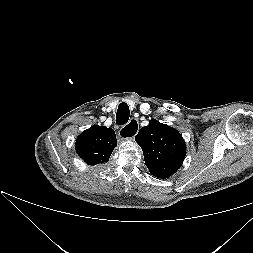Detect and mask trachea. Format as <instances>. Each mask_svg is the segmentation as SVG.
I'll use <instances>...</instances> for the list:
<instances>
[{"mask_svg":"<svg viewBox=\"0 0 253 253\" xmlns=\"http://www.w3.org/2000/svg\"><path fill=\"white\" fill-rule=\"evenodd\" d=\"M129 116H130V111H129L128 105L126 103H121L118 106V110L116 113V123L118 125L125 124L128 121ZM129 125H132V121L130 122Z\"/></svg>","mask_w":253,"mask_h":253,"instance_id":"1","label":"trachea"}]
</instances>
